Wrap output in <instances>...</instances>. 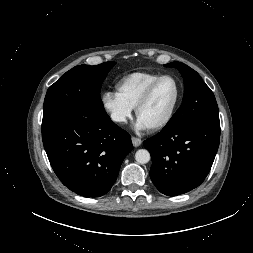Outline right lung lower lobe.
Returning <instances> with one entry per match:
<instances>
[{
	"mask_svg": "<svg viewBox=\"0 0 253 253\" xmlns=\"http://www.w3.org/2000/svg\"><path fill=\"white\" fill-rule=\"evenodd\" d=\"M42 139L60 181L88 198L103 196L111 189L133 149L130 135L105 111L61 113L42 122Z\"/></svg>",
	"mask_w": 253,
	"mask_h": 253,
	"instance_id": "obj_1",
	"label": "right lung lower lobe"
}]
</instances>
